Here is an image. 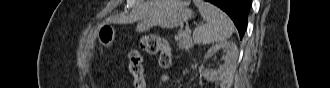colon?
<instances>
[{"label":"colon","mask_w":330,"mask_h":88,"mask_svg":"<svg viewBox=\"0 0 330 88\" xmlns=\"http://www.w3.org/2000/svg\"><path fill=\"white\" fill-rule=\"evenodd\" d=\"M141 50L149 54H159V62L162 68L171 65V48L168 41L156 34L144 35L140 40ZM129 69L134 78V88H145L143 59L138 50H132L129 54Z\"/></svg>","instance_id":"5ec220e1"}]
</instances>
